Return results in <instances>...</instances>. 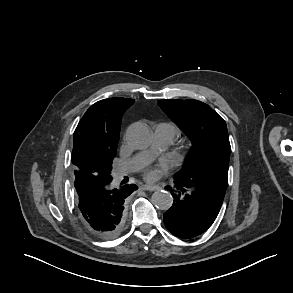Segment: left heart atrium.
<instances>
[{
    "label": "left heart atrium",
    "mask_w": 293,
    "mask_h": 293,
    "mask_svg": "<svg viewBox=\"0 0 293 293\" xmlns=\"http://www.w3.org/2000/svg\"><path fill=\"white\" fill-rule=\"evenodd\" d=\"M162 169H165V166H161ZM160 174V170L157 168H148L145 170L144 176L148 180H154L156 179Z\"/></svg>",
    "instance_id": "1"
}]
</instances>
